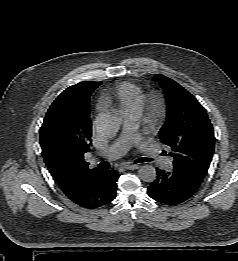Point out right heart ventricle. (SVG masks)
I'll list each match as a JSON object with an SVG mask.
<instances>
[{
  "instance_id": "obj_1",
  "label": "right heart ventricle",
  "mask_w": 238,
  "mask_h": 261,
  "mask_svg": "<svg viewBox=\"0 0 238 261\" xmlns=\"http://www.w3.org/2000/svg\"><path fill=\"white\" fill-rule=\"evenodd\" d=\"M104 99L105 102L117 106L125 117L139 116L143 107L144 90L134 82L124 81L116 84Z\"/></svg>"
}]
</instances>
